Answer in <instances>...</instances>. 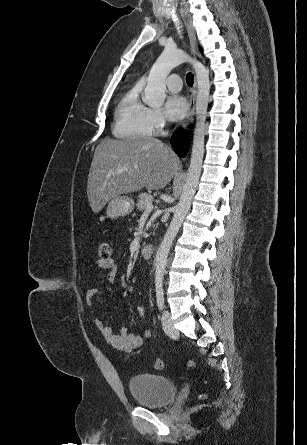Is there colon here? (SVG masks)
<instances>
[{"mask_svg":"<svg viewBox=\"0 0 307 445\" xmlns=\"http://www.w3.org/2000/svg\"><path fill=\"white\" fill-rule=\"evenodd\" d=\"M112 244L107 241H102L97 244V252L101 259H109L112 256ZM189 366H194L193 361H189ZM153 367L156 370H161L163 368V361L159 358L155 359L153 362Z\"/></svg>","mask_w":307,"mask_h":445,"instance_id":"colon-1","label":"colon"}]
</instances>
